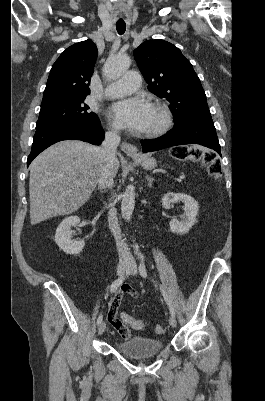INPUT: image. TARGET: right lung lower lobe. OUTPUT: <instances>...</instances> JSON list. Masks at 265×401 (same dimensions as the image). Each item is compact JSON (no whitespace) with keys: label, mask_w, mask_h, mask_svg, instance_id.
<instances>
[{"label":"right lung lower lobe","mask_w":265,"mask_h":401,"mask_svg":"<svg viewBox=\"0 0 265 401\" xmlns=\"http://www.w3.org/2000/svg\"><path fill=\"white\" fill-rule=\"evenodd\" d=\"M104 136V130L100 124L69 122L50 123L36 127L27 166L39 153L58 141L82 140L94 145H99L104 139Z\"/></svg>","instance_id":"right-lung-lower-lobe-1"}]
</instances>
